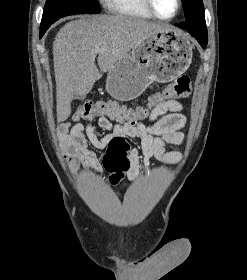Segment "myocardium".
Returning <instances> with one entry per match:
<instances>
[{"instance_id":"myocardium-1","label":"myocardium","mask_w":247,"mask_h":280,"mask_svg":"<svg viewBox=\"0 0 247 280\" xmlns=\"http://www.w3.org/2000/svg\"><path fill=\"white\" fill-rule=\"evenodd\" d=\"M143 2H144V5H145L146 9L149 11V13L154 18H156L158 20H162V21H172V20H174L178 16V14L180 13V10L182 8V0H176L177 8H176L175 13L169 18H164L156 12V10L153 6V1L152 0H143Z\"/></svg>"}]
</instances>
